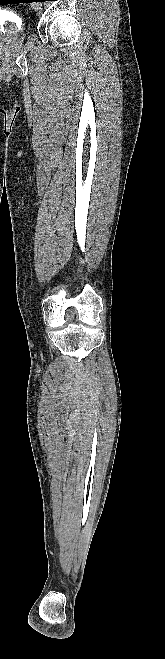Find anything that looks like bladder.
Instances as JSON below:
<instances>
[{"instance_id":"bladder-1","label":"bladder","mask_w":165,"mask_h":659,"mask_svg":"<svg viewBox=\"0 0 165 659\" xmlns=\"http://www.w3.org/2000/svg\"><path fill=\"white\" fill-rule=\"evenodd\" d=\"M3 31L9 38H19L25 33V28L20 27L17 22H12L11 26L6 27V25H4ZM1 35H3L2 31H0V36Z\"/></svg>"}]
</instances>
